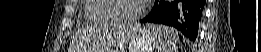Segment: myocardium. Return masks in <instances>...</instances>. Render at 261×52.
I'll return each instance as SVG.
<instances>
[{
  "mask_svg": "<svg viewBox=\"0 0 261 52\" xmlns=\"http://www.w3.org/2000/svg\"><path fill=\"white\" fill-rule=\"evenodd\" d=\"M118 1H121V0H112L110 6H111V10L113 12L114 19L117 22H119V23H135V22L139 21L142 18V16L144 15V13L146 11V2L145 1H141L140 8H139V10L137 11L136 14H134V15H132L130 17L118 16L115 13L116 3Z\"/></svg>",
  "mask_w": 261,
  "mask_h": 52,
  "instance_id": "f54148a6",
  "label": "myocardium"
}]
</instances>
